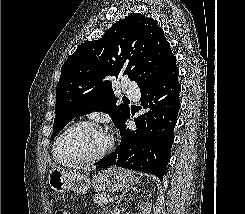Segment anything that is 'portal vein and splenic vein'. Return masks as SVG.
I'll list each match as a JSON object with an SVG mask.
<instances>
[{
    "mask_svg": "<svg viewBox=\"0 0 245 214\" xmlns=\"http://www.w3.org/2000/svg\"><path fill=\"white\" fill-rule=\"evenodd\" d=\"M114 201V199L113 198H109V202H113Z\"/></svg>",
    "mask_w": 245,
    "mask_h": 214,
    "instance_id": "portal-vein-and-splenic-vein-1",
    "label": "portal vein and splenic vein"
}]
</instances>
